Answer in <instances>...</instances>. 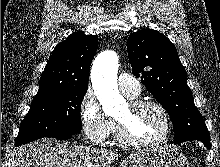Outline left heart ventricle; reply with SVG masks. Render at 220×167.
Listing matches in <instances>:
<instances>
[{"instance_id":"b2bd125f","label":"left heart ventricle","mask_w":220,"mask_h":167,"mask_svg":"<svg viewBox=\"0 0 220 167\" xmlns=\"http://www.w3.org/2000/svg\"><path fill=\"white\" fill-rule=\"evenodd\" d=\"M116 118L124 123L130 135L138 140L155 139L163 133L165 127L162 114L152 106L132 110L127 105Z\"/></svg>"}]
</instances>
